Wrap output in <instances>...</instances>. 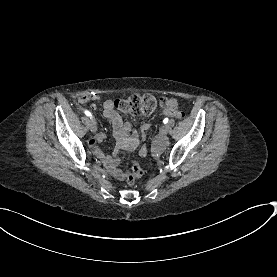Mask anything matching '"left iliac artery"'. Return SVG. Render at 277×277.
<instances>
[{
	"label": "left iliac artery",
	"instance_id": "obj_1",
	"mask_svg": "<svg viewBox=\"0 0 277 277\" xmlns=\"http://www.w3.org/2000/svg\"><path fill=\"white\" fill-rule=\"evenodd\" d=\"M168 120H169L168 118H165V119L163 120V123H164V124L168 123Z\"/></svg>",
	"mask_w": 277,
	"mask_h": 277
}]
</instances>
